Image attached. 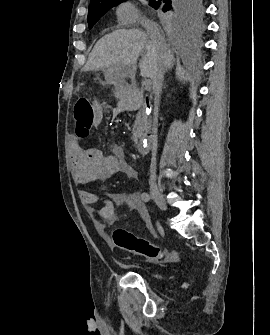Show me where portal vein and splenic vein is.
<instances>
[{
	"label": "portal vein and splenic vein",
	"mask_w": 270,
	"mask_h": 335,
	"mask_svg": "<svg viewBox=\"0 0 270 335\" xmlns=\"http://www.w3.org/2000/svg\"><path fill=\"white\" fill-rule=\"evenodd\" d=\"M152 83L148 82L145 86H144V91H149L151 89Z\"/></svg>",
	"instance_id": "obj_1"
}]
</instances>
